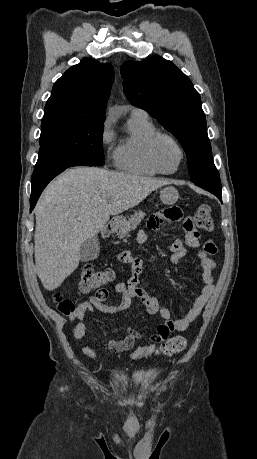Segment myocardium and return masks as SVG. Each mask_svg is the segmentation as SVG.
<instances>
[{
  "label": "myocardium",
  "instance_id": "myocardium-1",
  "mask_svg": "<svg viewBox=\"0 0 257 459\" xmlns=\"http://www.w3.org/2000/svg\"><path fill=\"white\" fill-rule=\"evenodd\" d=\"M161 139L170 140L177 147V149L179 150L180 160H179V163H178L177 167L172 171L165 170L160 165V163L158 162V160L156 158V154H155L156 145L159 142V140H161ZM146 151H147V157H148L150 163L152 164V166L155 169H157L160 173L167 174V175L176 173L181 168V166H182V164H183V162L185 160V156H186L185 150H184L183 146L181 145V143L174 136H172L171 134L163 133V132H156L155 134H153L150 137V139H149V141L147 143Z\"/></svg>",
  "mask_w": 257,
  "mask_h": 459
}]
</instances>
